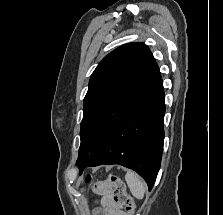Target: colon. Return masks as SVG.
Segmentation results:
<instances>
[{
	"label": "colon",
	"mask_w": 223,
	"mask_h": 215,
	"mask_svg": "<svg viewBox=\"0 0 223 215\" xmlns=\"http://www.w3.org/2000/svg\"><path fill=\"white\" fill-rule=\"evenodd\" d=\"M86 181L91 182L92 177L88 176ZM108 182L112 186V197L114 201L124 206L127 215H133L135 212V204L132 197L128 194L122 179L116 174H110L108 176Z\"/></svg>",
	"instance_id": "colon-1"
}]
</instances>
